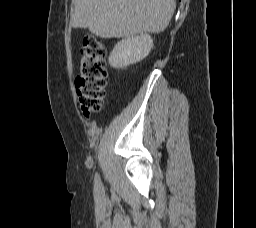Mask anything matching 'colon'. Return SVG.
Here are the masks:
<instances>
[{"label": "colon", "mask_w": 256, "mask_h": 228, "mask_svg": "<svg viewBox=\"0 0 256 228\" xmlns=\"http://www.w3.org/2000/svg\"><path fill=\"white\" fill-rule=\"evenodd\" d=\"M104 57L103 44L93 36L85 37L75 86L79 105L86 117L98 112L105 98L107 70Z\"/></svg>", "instance_id": "obj_1"}]
</instances>
